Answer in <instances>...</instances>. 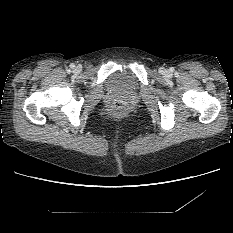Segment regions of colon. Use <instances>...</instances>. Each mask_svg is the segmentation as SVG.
Listing matches in <instances>:
<instances>
[{
    "label": "colon",
    "instance_id": "obj_1",
    "mask_svg": "<svg viewBox=\"0 0 233 233\" xmlns=\"http://www.w3.org/2000/svg\"><path fill=\"white\" fill-rule=\"evenodd\" d=\"M108 111L109 114L114 117L125 116L129 111V103L123 98L116 99L112 102Z\"/></svg>",
    "mask_w": 233,
    "mask_h": 233
}]
</instances>
